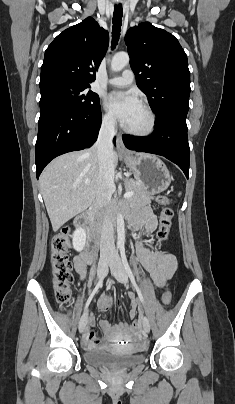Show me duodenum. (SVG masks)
<instances>
[{
    "instance_id": "duodenum-1",
    "label": "duodenum",
    "mask_w": 235,
    "mask_h": 404,
    "mask_svg": "<svg viewBox=\"0 0 235 404\" xmlns=\"http://www.w3.org/2000/svg\"><path fill=\"white\" fill-rule=\"evenodd\" d=\"M94 216V208L90 209L86 214L77 218L75 225L85 234V249L93 261L99 246V234L92 223Z\"/></svg>"
}]
</instances>
